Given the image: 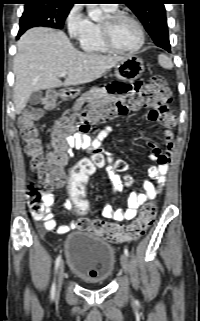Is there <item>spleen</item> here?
I'll use <instances>...</instances> for the list:
<instances>
[{
    "instance_id": "obj_1",
    "label": "spleen",
    "mask_w": 200,
    "mask_h": 321,
    "mask_svg": "<svg viewBox=\"0 0 200 321\" xmlns=\"http://www.w3.org/2000/svg\"><path fill=\"white\" fill-rule=\"evenodd\" d=\"M158 63L164 69H169L170 70V69L173 68V62H172L171 58H169L165 54H160L158 56Z\"/></svg>"
}]
</instances>
